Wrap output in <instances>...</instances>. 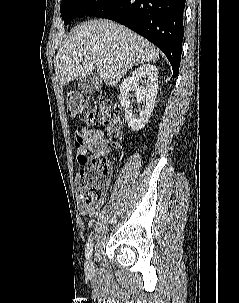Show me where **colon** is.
Here are the masks:
<instances>
[{"label": "colon", "instance_id": "obj_1", "mask_svg": "<svg viewBox=\"0 0 239 303\" xmlns=\"http://www.w3.org/2000/svg\"><path fill=\"white\" fill-rule=\"evenodd\" d=\"M68 114L80 121L92 124H104L110 136L116 140L125 120L121 109L110 102L98 99L91 105L90 98L77 90H69L66 94ZM112 162L101 157L93 159L79 173V193L83 204L87 206L102 205L106 199L110 181Z\"/></svg>", "mask_w": 239, "mask_h": 303}]
</instances>
